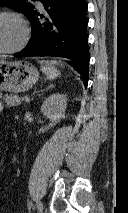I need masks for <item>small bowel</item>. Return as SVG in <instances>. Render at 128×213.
<instances>
[{"instance_id": "1", "label": "small bowel", "mask_w": 128, "mask_h": 213, "mask_svg": "<svg viewBox=\"0 0 128 213\" xmlns=\"http://www.w3.org/2000/svg\"><path fill=\"white\" fill-rule=\"evenodd\" d=\"M3 109V105H2V102L0 101V112L2 111Z\"/></svg>"}]
</instances>
